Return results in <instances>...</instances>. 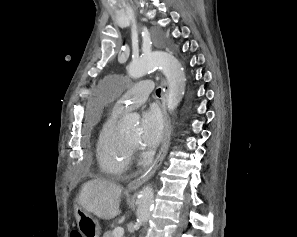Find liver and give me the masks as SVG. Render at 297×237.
I'll list each match as a JSON object with an SVG mask.
<instances>
[{
  "label": "liver",
  "mask_w": 297,
  "mask_h": 237,
  "mask_svg": "<svg viewBox=\"0 0 297 237\" xmlns=\"http://www.w3.org/2000/svg\"><path fill=\"white\" fill-rule=\"evenodd\" d=\"M122 188L111 182L94 179L81 189L78 204L100 219L110 220L121 213L119 209Z\"/></svg>",
  "instance_id": "obj_1"
}]
</instances>
